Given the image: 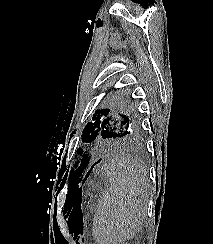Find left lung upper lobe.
Returning a JSON list of instances; mask_svg holds the SVG:
<instances>
[{
  "instance_id": "1",
  "label": "left lung upper lobe",
  "mask_w": 213,
  "mask_h": 244,
  "mask_svg": "<svg viewBox=\"0 0 213 244\" xmlns=\"http://www.w3.org/2000/svg\"><path fill=\"white\" fill-rule=\"evenodd\" d=\"M95 111L92 121L83 130L82 141L93 142L96 138H122L139 133V117L127 93L117 92L110 97L105 105ZM81 158L71 169L69 175V190H77L89 165L90 155L83 149H77Z\"/></svg>"
}]
</instances>
